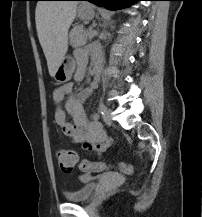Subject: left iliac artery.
I'll return each mask as SVG.
<instances>
[{
  "instance_id": "44dca946",
  "label": "left iliac artery",
  "mask_w": 202,
  "mask_h": 217,
  "mask_svg": "<svg viewBox=\"0 0 202 217\" xmlns=\"http://www.w3.org/2000/svg\"><path fill=\"white\" fill-rule=\"evenodd\" d=\"M106 110H107V107L103 103H100V105H99V111H100V113L102 115H104L105 112H106Z\"/></svg>"
}]
</instances>
